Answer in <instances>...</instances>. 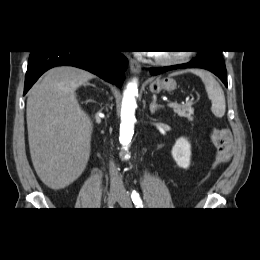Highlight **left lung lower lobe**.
<instances>
[{"mask_svg": "<svg viewBox=\"0 0 260 260\" xmlns=\"http://www.w3.org/2000/svg\"><path fill=\"white\" fill-rule=\"evenodd\" d=\"M181 68H202L209 70L218 76L221 81L227 87V76H226V67L221 54V51L206 50L199 51L196 58L192 61L184 64L172 65L167 67H156L150 68V73L153 76L164 73L169 70L181 69Z\"/></svg>", "mask_w": 260, "mask_h": 260, "instance_id": "left-lung-lower-lobe-1", "label": "left lung lower lobe"}]
</instances>
